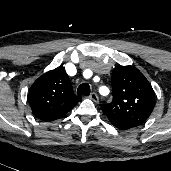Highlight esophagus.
<instances>
[{"label": "esophagus", "mask_w": 171, "mask_h": 171, "mask_svg": "<svg viewBox=\"0 0 171 171\" xmlns=\"http://www.w3.org/2000/svg\"><path fill=\"white\" fill-rule=\"evenodd\" d=\"M89 98L92 99L95 103H98L99 99H98V95L93 92L89 95Z\"/></svg>", "instance_id": "1"}]
</instances>
